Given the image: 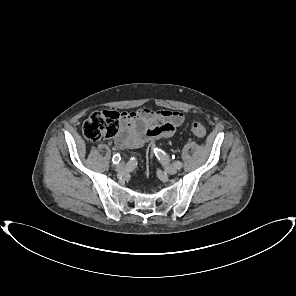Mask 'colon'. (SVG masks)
<instances>
[{
  "label": "colon",
  "mask_w": 296,
  "mask_h": 296,
  "mask_svg": "<svg viewBox=\"0 0 296 296\" xmlns=\"http://www.w3.org/2000/svg\"><path fill=\"white\" fill-rule=\"evenodd\" d=\"M121 114L113 110H103L92 113L83 123V135L90 141L96 142L102 138L115 136L120 128ZM192 133L203 138L206 134L205 127L194 121L191 124Z\"/></svg>",
  "instance_id": "colon-1"
}]
</instances>
